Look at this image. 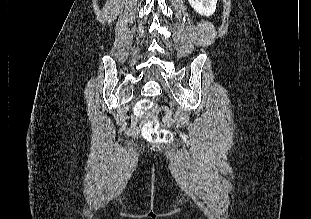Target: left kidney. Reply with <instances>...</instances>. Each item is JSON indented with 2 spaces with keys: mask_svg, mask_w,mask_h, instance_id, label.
<instances>
[{
  "mask_svg": "<svg viewBox=\"0 0 311 219\" xmlns=\"http://www.w3.org/2000/svg\"><path fill=\"white\" fill-rule=\"evenodd\" d=\"M191 7L201 15L207 17L213 15L216 11L217 0H188Z\"/></svg>",
  "mask_w": 311,
  "mask_h": 219,
  "instance_id": "1",
  "label": "left kidney"
}]
</instances>
